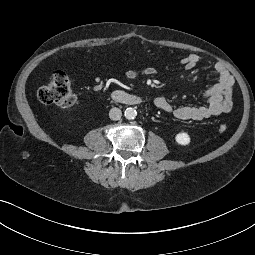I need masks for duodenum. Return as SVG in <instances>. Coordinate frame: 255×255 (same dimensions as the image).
<instances>
[{"label": "duodenum", "instance_id": "duodenum-1", "mask_svg": "<svg viewBox=\"0 0 255 255\" xmlns=\"http://www.w3.org/2000/svg\"><path fill=\"white\" fill-rule=\"evenodd\" d=\"M111 97L113 100L117 102L128 104V105H138L142 103L141 97L137 95H133V94H128L123 91H114L112 92Z\"/></svg>", "mask_w": 255, "mask_h": 255}]
</instances>
